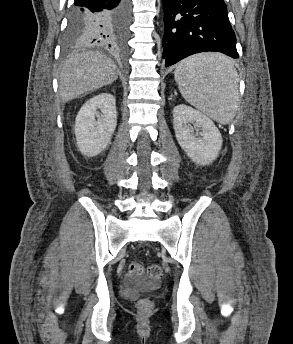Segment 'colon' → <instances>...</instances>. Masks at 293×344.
Instances as JSON below:
<instances>
[{
  "label": "colon",
  "instance_id": "obj_1",
  "mask_svg": "<svg viewBox=\"0 0 293 344\" xmlns=\"http://www.w3.org/2000/svg\"><path fill=\"white\" fill-rule=\"evenodd\" d=\"M133 279L147 276L153 281L159 280L163 275L162 267L159 264H151L147 268L140 263H131L127 272ZM137 310L146 314L152 310V303L148 299H140L136 304Z\"/></svg>",
  "mask_w": 293,
  "mask_h": 344
}]
</instances>
